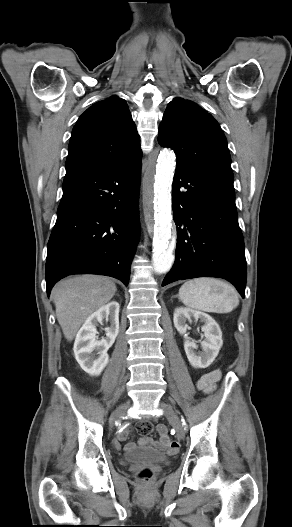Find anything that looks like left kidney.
Returning <instances> with one entry per match:
<instances>
[{
	"label": "left kidney",
	"instance_id": "left-kidney-1",
	"mask_svg": "<svg viewBox=\"0 0 292 527\" xmlns=\"http://www.w3.org/2000/svg\"><path fill=\"white\" fill-rule=\"evenodd\" d=\"M192 318L204 322L201 328L205 336L201 342L203 352L196 353V343L188 339L184 341V350L189 363L194 368H206L215 360L223 345L222 331L210 315L190 308L179 307L174 311L173 321L175 328L181 335L186 334L188 328L186 321H191Z\"/></svg>",
	"mask_w": 292,
	"mask_h": 527
}]
</instances>
